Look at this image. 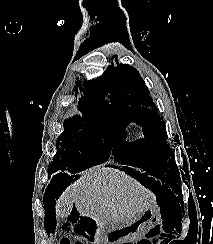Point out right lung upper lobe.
<instances>
[{
    "instance_id": "1",
    "label": "right lung upper lobe",
    "mask_w": 213,
    "mask_h": 244,
    "mask_svg": "<svg viewBox=\"0 0 213 244\" xmlns=\"http://www.w3.org/2000/svg\"><path fill=\"white\" fill-rule=\"evenodd\" d=\"M77 109L109 113L106 106L100 102L94 88L85 91V94L81 96V99L78 101Z\"/></svg>"
}]
</instances>
